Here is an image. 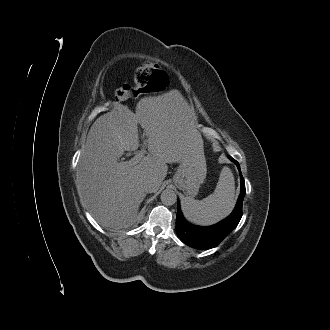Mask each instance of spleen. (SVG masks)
Here are the masks:
<instances>
[{
    "instance_id": "1",
    "label": "spleen",
    "mask_w": 330,
    "mask_h": 330,
    "mask_svg": "<svg viewBox=\"0 0 330 330\" xmlns=\"http://www.w3.org/2000/svg\"><path fill=\"white\" fill-rule=\"evenodd\" d=\"M234 205V176L230 168L223 167L215 191L202 200L185 197L182 210L188 221L199 225H211L228 216Z\"/></svg>"
}]
</instances>
